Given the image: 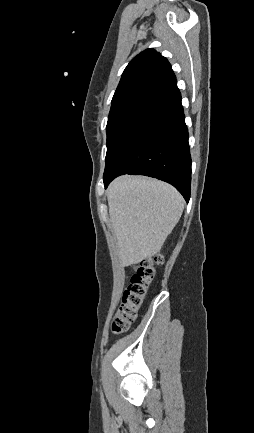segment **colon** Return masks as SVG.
I'll return each instance as SVG.
<instances>
[{
    "label": "colon",
    "mask_w": 254,
    "mask_h": 433,
    "mask_svg": "<svg viewBox=\"0 0 254 433\" xmlns=\"http://www.w3.org/2000/svg\"><path fill=\"white\" fill-rule=\"evenodd\" d=\"M161 262V256L145 260L138 265L136 271L132 274L130 284L123 294L121 304L111 325L114 334L126 332L135 320L147 294L149 284L155 276V265Z\"/></svg>",
    "instance_id": "5ec220e1"
}]
</instances>
